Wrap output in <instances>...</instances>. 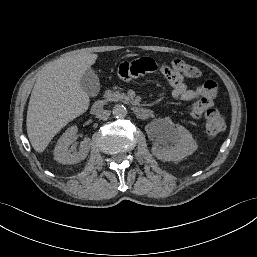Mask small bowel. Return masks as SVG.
<instances>
[{"label": "small bowel", "mask_w": 257, "mask_h": 257, "mask_svg": "<svg viewBox=\"0 0 257 257\" xmlns=\"http://www.w3.org/2000/svg\"><path fill=\"white\" fill-rule=\"evenodd\" d=\"M156 72L172 88V96L175 99L196 100L189 111L190 118L199 119L212 107L217 93V87L213 81H206L194 88H188L184 83V74L166 62L157 65L155 60L150 57L127 60L117 68L116 77L121 83L130 84L133 81H143L150 78Z\"/></svg>", "instance_id": "c3829d8e"}]
</instances>
